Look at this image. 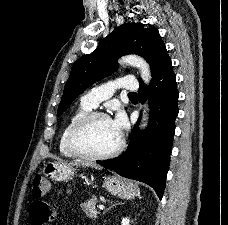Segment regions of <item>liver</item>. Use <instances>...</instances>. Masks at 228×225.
<instances>
[{
  "mask_svg": "<svg viewBox=\"0 0 228 225\" xmlns=\"http://www.w3.org/2000/svg\"><path fill=\"white\" fill-rule=\"evenodd\" d=\"M75 165H82V163H75ZM82 167H86V165H82Z\"/></svg>",
  "mask_w": 228,
  "mask_h": 225,
  "instance_id": "1",
  "label": "liver"
}]
</instances>
